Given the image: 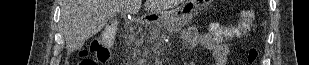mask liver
Masks as SVG:
<instances>
[{"label": "liver", "mask_w": 309, "mask_h": 65, "mask_svg": "<svg viewBox=\"0 0 309 65\" xmlns=\"http://www.w3.org/2000/svg\"><path fill=\"white\" fill-rule=\"evenodd\" d=\"M182 0H146L145 11L161 14ZM142 0H61V26L66 49H80L86 40L97 34L116 13L137 14Z\"/></svg>", "instance_id": "obj_1"}]
</instances>
